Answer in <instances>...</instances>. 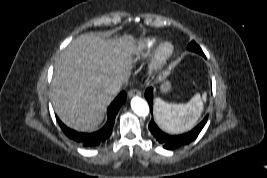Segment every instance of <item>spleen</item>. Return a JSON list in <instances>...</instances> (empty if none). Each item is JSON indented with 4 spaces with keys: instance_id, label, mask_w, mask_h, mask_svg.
I'll use <instances>...</instances> for the list:
<instances>
[{
    "instance_id": "spleen-1",
    "label": "spleen",
    "mask_w": 267,
    "mask_h": 178,
    "mask_svg": "<svg viewBox=\"0 0 267 178\" xmlns=\"http://www.w3.org/2000/svg\"><path fill=\"white\" fill-rule=\"evenodd\" d=\"M206 93L195 94L188 103L172 104L156 98L154 112L157 124L166 132L178 134L192 129L200 118Z\"/></svg>"
}]
</instances>
